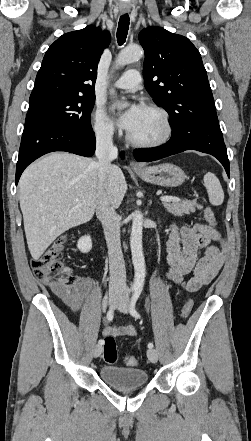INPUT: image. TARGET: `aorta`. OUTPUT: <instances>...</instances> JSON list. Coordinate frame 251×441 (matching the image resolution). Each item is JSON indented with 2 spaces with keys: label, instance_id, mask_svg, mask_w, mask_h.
<instances>
[{
  "label": "aorta",
  "instance_id": "762f6f07",
  "mask_svg": "<svg viewBox=\"0 0 251 441\" xmlns=\"http://www.w3.org/2000/svg\"><path fill=\"white\" fill-rule=\"evenodd\" d=\"M143 55L144 52L140 47H127L119 53L116 59V66H123L138 61ZM110 92L114 94L115 91L112 89ZM132 219L130 247L135 271L133 287L136 290H142L146 274L142 247L143 214L141 211L136 210L132 213Z\"/></svg>",
  "mask_w": 251,
  "mask_h": 441
}]
</instances>
